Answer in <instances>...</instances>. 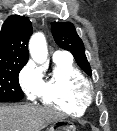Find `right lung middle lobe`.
<instances>
[{"label":"right lung middle lobe","mask_w":117,"mask_h":131,"mask_svg":"<svg viewBox=\"0 0 117 131\" xmlns=\"http://www.w3.org/2000/svg\"><path fill=\"white\" fill-rule=\"evenodd\" d=\"M21 64L0 65V102L19 101L24 94L18 82Z\"/></svg>","instance_id":"obj_1"}]
</instances>
